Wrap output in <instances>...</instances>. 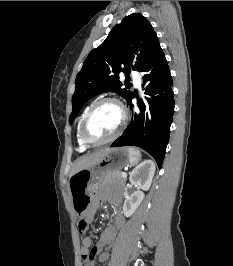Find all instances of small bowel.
Returning <instances> with one entry per match:
<instances>
[{
  "label": "small bowel",
  "instance_id": "small-bowel-1",
  "mask_svg": "<svg viewBox=\"0 0 233 266\" xmlns=\"http://www.w3.org/2000/svg\"><path fill=\"white\" fill-rule=\"evenodd\" d=\"M100 198L101 197L99 195L94 196L93 201H92V207L86 216L87 222H90L93 220V217L98 207ZM108 200L111 201V203L113 204L115 208L114 220L102 232L99 241L93 247H91L90 237L88 236L84 237L82 241L81 254H82V258L84 262L86 263L85 266H93L96 260L99 262H105L108 259L109 254H108L107 249H109L112 246L117 230L123 226L124 220L118 211L120 201L116 198H108ZM86 231L83 233H86ZM88 255L92 256L91 262L89 263L86 262V259H85V257Z\"/></svg>",
  "mask_w": 233,
  "mask_h": 266
}]
</instances>
